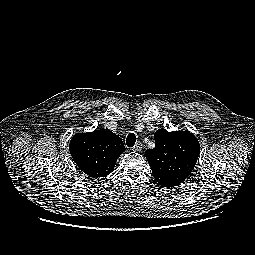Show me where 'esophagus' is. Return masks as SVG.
Instances as JSON below:
<instances>
[{
	"label": "esophagus",
	"mask_w": 255,
	"mask_h": 255,
	"mask_svg": "<svg viewBox=\"0 0 255 255\" xmlns=\"http://www.w3.org/2000/svg\"><path fill=\"white\" fill-rule=\"evenodd\" d=\"M141 149H142V143L137 142L132 150L135 151V152H139Z\"/></svg>",
	"instance_id": "esophagus-1"
}]
</instances>
